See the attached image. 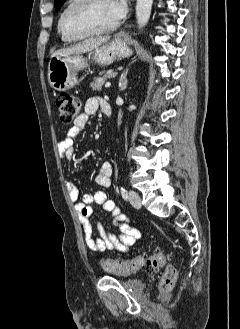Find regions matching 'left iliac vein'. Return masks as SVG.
I'll use <instances>...</instances> for the list:
<instances>
[{
  "mask_svg": "<svg viewBox=\"0 0 240 329\" xmlns=\"http://www.w3.org/2000/svg\"><path fill=\"white\" fill-rule=\"evenodd\" d=\"M129 201L134 208H141V199L139 195L133 190L129 191Z\"/></svg>",
  "mask_w": 240,
  "mask_h": 329,
  "instance_id": "obj_1",
  "label": "left iliac vein"
}]
</instances>
